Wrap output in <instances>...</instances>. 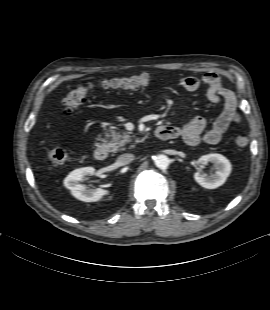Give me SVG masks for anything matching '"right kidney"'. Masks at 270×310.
<instances>
[{
    "label": "right kidney",
    "instance_id": "ca27d5eb",
    "mask_svg": "<svg viewBox=\"0 0 270 310\" xmlns=\"http://www.w3.org/2000/svg\"><path fill=\"white\" fill-rule=\"evenodd\" d=\"M95 169L93 167H84L73 170L65 179L64 186L71 191V194L84 202L99 201L104 195L109 193L108 190L101 188L89 189L81 184L83 178L88 175H93Z\"/></svg>",
    "mask_w": 270,
    "mask_h": 310
}]
</instances>
